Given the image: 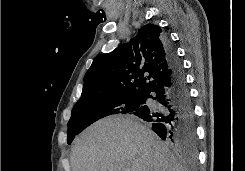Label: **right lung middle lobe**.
I'll use <instances>...</instances> for the list:
<instances>
[{
  "instance_id": "right-lung-middle-lobe-1",
  "label": "right lung middle lobe",
  "mask_w": 245,
  "mask_h": 171,
  "mask_svg": "<svg viewBox=\"0 0 245 171\" xmlns=\"http://www.w3.org/2000/svg\"><path fill=\"white\" fill-rule=\"evenodd\" d=\"M142 103V95H116L77 102L68 122V144L95 121L112 114H132Z\"/></svg>"
}]
</instances>
